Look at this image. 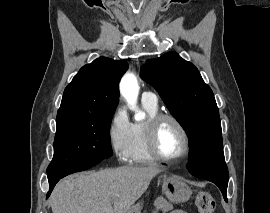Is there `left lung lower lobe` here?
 <instances>
[{
  "mask_svg": "<svg viewBox=\"0 0 270 213\" xmlns=\"http://www.w3.org/2000/svg\"><path fill=\"white\" fill-rule=\"evenodd\" d=\"M187 169L189 170V172L193 176H196L198 178H202L200 173L198 172L199 167L191 159H188ZM215 184L219 187V189L221 190V192L223 194L224 199L227 201L226 190H227V185L228 184L227 185H221V184H218V183H215Z\"/></svg>",
  "mask_w": 270,
  "mask_h": 213,
  "instance_id": "obj_1",
  "label": "left lung lower lobe"
}]
</instances>
